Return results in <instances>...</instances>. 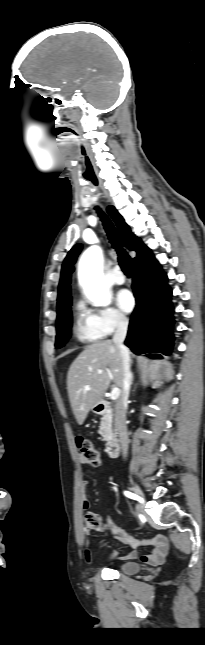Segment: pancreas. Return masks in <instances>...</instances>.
Segmentation results:
<instances>
[{"mask_svg":"<svg viewBox=\"0 0 205 645\" xmlns=\"http://www.w3.org/2000/svg\"><path fill=\"white\" fill-rule=\"evenodd\" d=\"M99 434L102 436V440L106 442L114 436L113 415L111 413L103 415L99 428Z\"/></svg>","mask_w":205,"mask_h":645,"instance_id":"1","label":"pancreas"}]
</instances>
